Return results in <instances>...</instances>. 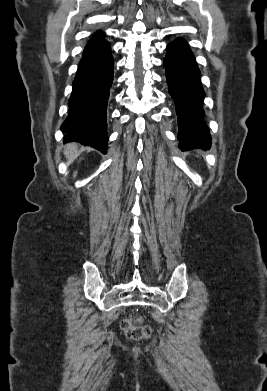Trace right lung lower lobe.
Returning <instances> with one entry per match:
<instances>
[{
    "label": "right lung lower lobe",
    "instance_id": "right-lung-lower-lobe-1",
    "mask_svg": "<svg viewBox=\"0 0 267 391\" xmlns=\"http://www.w3.org/2000/svg\"><path fill=\"white\" fill-rule=\"evenodd\" d=\"M113 65L109 43L83 53L73 81L68 117L61 127L65 141H77L106 153V110Z\"/></svg>",
    "mask_w": 267,
    "mask_h": 391
}]
</instances>
